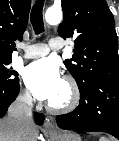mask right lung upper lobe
<instances>
[{"label":"right lung upper lobe","mask_w":119,"mask_h":141,"mask_svg":"<svg viewBox=\"0 0 119 141\" xmlns=\"http://www.w3.org/2000/svg\"><path fill=\"white\" fill-rule=\"evenodd\" d=\"M31 0H0V58H12L15 40H21Z\"/></svg>","instance_id":"cb5924a9"}]
</instances>
